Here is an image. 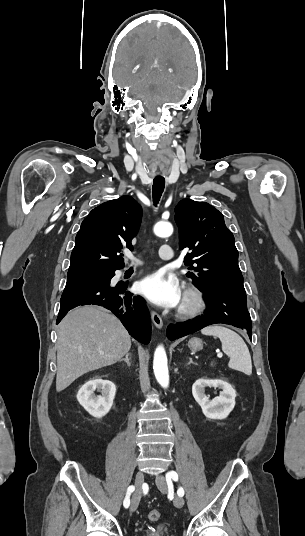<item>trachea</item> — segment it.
Returning a JSON list of instances; mask_svg holds the SVG:
<instances>
[{
    "label": "trachea",
    "instance_id": "1",
    "mask_svg": "<svg viewBox=\"0 0 305 536\" xmlns=\"http://www.w3.org/2000/svg\"><path fill=\"white\" fill-rule=\"evenodd\" d=\"M164 188H165V178L155 177L153 180V186H152V196H153L154 206H157V204L159 203L162 193L164 191Z\"/></svg>",
    "mask_w": 305,
    "mask_h": 536
}]
</instances>
